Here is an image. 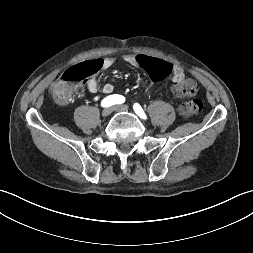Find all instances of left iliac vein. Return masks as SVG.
Listing matches in <instances>:
<instances>
[{
    "mask_svg": "<svg viewBox=\"0 0 253 253\" xmlns=\"http://www.w3.org/2000/svg\"><path fill=\"white\" fill-rule=\"evenodd\" d=\"M113 110L114 111H119V112H125V111H128L129 110V106L127 105H116L113 107Z\"/></svg>",
    "mask_w": 253,
    "mask_h": 253,
    "instance_id": "4c4485c4",
    "label": "left iliac vein"
}]
</instances>
